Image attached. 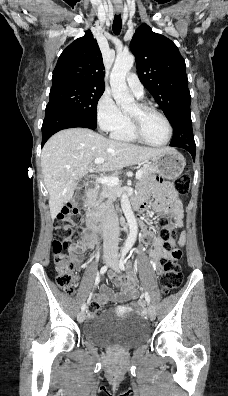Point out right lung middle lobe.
I'll use <instances>...</instances> for the list:
<instances>
[{"label": "right lung middle lobe", "mask_w": 228, "mask_h": 396, "mask_svg": "<svg viewBox=\"0 0 228 396\" xmlns=\"http://www.w3.org/2000/svg\"><path fill=\"white\" fill-rule=\"evenodd\" d=\"M104 89L79 84L55 85L46 108L62 107L97 122V103Z\"/></svg>", "instance_id": "1"}]
</instances>
